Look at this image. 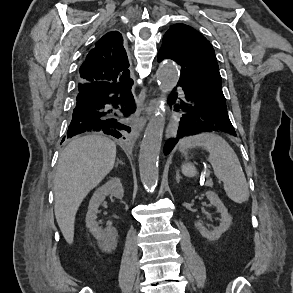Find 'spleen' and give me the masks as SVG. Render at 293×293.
I'll use <instances>...</instances> for the list:
<instances>
[{
  "label": "spleen",
  "instance_id": "3e777b00",
  "mask_svg": "<svg viewBox=\"0 0 293 293\" xmlns=\"http://www.w3.org/2000/svg\"><path fill=\"white\" fill-rule=\"evenodd\" d=\"M201 147L209 152L208 161L214 169L216 177L224 183L227 196L236 203H243L249 199L248 184L239 159L221 136L215 133H201L185 137L179 142V150H189ZM182 173L187 177H194L197 170L194 165L184 163Z\"/></svg>",
  "mask_w": 293,
  "mask_h": 293
}]
</instances>
